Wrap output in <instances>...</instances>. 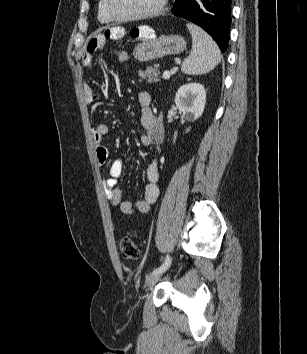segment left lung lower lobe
I'll return each instance as SVG.
<instances>
[{"instance_id": "obj_1", "label": "left lung lower lobe", "mask_w": 307, "mask_h": 354, "mask_svg": "<svg viewBox=\"0 0 307 354\" xmlns=\"http://www.w3.org/2000/svg\"><path fill=\"white\" fill-rule=\"evenodd\" d=\"M231 0H176L172 12L206 30L226 51L231 26Z\"/></svg>"}]
</instances>
